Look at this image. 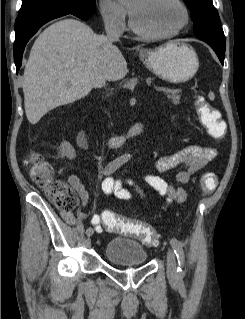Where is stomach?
Here are the masks:
<instances>
[{"instance_id":"0dacf381","label":"stomach","mask_w":245,"mask_h":319,"mask_svg":"<svg viewBox=\"0 0 245 319\" xmlns=\"http://www.w3.org/2000/svg\"><path fill=\"white\" fill-rule=\"evenodd\" d=\"M139 57L154 74L172 83L190 80L199 68L195 50L179 41L169 42L155 49L143 50Z\"/></svg>"}]
</instances>
